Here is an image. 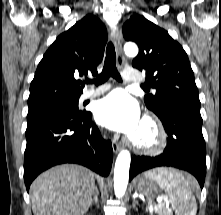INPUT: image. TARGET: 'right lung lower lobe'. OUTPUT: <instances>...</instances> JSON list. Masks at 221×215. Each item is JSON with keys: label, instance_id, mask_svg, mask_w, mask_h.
Masks as SVG:
<instances>
[{"label": "right lung lower lobe", "instance_id": "obj_1", "mask_svg": "<svg viewBox=\"0 0 221 215\" xmlns=\"http://www.w3.org/2000/svg\"><path fill=\"white\" fill-rule=\"evenodd\" d=\"M90 112H55L28 122L24 153L27 191L41 172L63 164L84 165L102 176L111 170L113 149L91 122Z\"/></svg>", "mask_w": 221, "mask_h": 215}]
</instances>
